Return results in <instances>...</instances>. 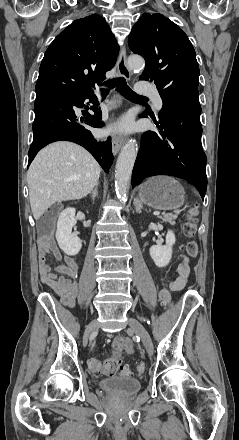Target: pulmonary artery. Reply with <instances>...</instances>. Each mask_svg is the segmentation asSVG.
<instances>
[{"label":"pulmonary artery","mask_w":239,"mask_h":440,"mask_svg":"<svg viewBox=\"0 0 239 440\" xmlns=\"http://www.w3.org/2000/svg\"><path fill=\"white\" fill-rule=\"evenodd\" d=\"M135 88L138 92H145L139 85H136ZM153 98H154L157 110L160 111L163 106V102H162L160 95L156 92L153 94Z\"/></svg>","instance_id":"1"}]
</instances>
